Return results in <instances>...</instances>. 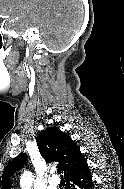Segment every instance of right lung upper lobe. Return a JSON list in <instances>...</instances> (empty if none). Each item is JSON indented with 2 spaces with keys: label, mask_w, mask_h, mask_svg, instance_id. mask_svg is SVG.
Returning <instances> with one entry per match:
<instances>
[{
  "label": "right lung upper lobe",
  "mask_w": 124,
  "mask_h": 189,
  "mask_svg": "<svg viewBox=\"0 0 124 189\" xmlns=\"http://www.w3.org/2000/svg\"><path fill=\"white\" fill-rule=\"evenodd\" d=\"M36 140L42 157L47 162H59L58 166L64 175L85 160L79 146L57 127L40 132ZM25 160L26 155L21 153L7 165L2 175V189H10L9 177L25 163Z\"/></svg>",
  "instance_id": "1"
}]
</instances>
